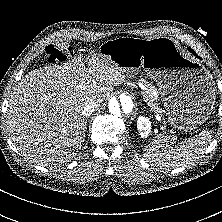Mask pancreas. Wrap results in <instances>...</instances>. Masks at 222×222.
<instances>
[{
    "instance_id": "obj_1",
    "label": "pancreas",
    "mask_w": 222,
    "mask_h": 222,
    "mask_svg": "<svg viewBox=\"0 0 222 222\" xmlns=\"http://www.w3.org/2000/svg\"><path fill=\"white\" fill-rule=\"evenodd\" d=\"M141 82L144 83L145 87L148 89L147 91L143 92V96H144L145 100L148 101L149 107L154 112L161 113L162 110L158 107V103L153 102L154 99H153L152 91L155 90L154 86L151 85L149 82H147L144 79H142Z\"/></svg>"
}]
</instances>
